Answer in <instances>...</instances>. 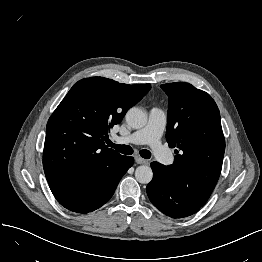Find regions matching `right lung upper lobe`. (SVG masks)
Here are the masks:
<instances>
[{"label":"right lung upper lobe","mask_w":262,"mask_h":262,"mask_svg":"<svg viewBox=\"0 0 262 262\" xmlns=\"http://www.w3.org/2000/svg\"><path fill=\"white\" fill-rule=\"evenodd\" d=\"M150 88L103 77L78 81L47 123L43 168L49 185L103 181L122 157L105 145L110 128Z\"/></svg>","instance_id":"cb5924a9"}]
</instances>
